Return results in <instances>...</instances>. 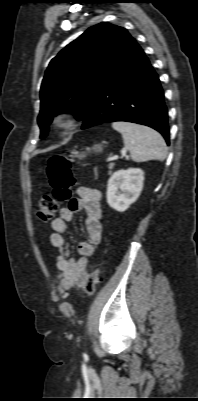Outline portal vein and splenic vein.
Masks as SVG:
<instances>
[{
  "label": "portal vein and splenic vein",
  "mask_w": 198,
  "mask_h": 401,
  "mask_svg": "<svg viewBox=\"0 0 198 401\" xmlns=\"http://www.w3.org/2000/svg\"><path fill=\"white\" fill-rule=\"evenodd\" d=\"M123 156H126L125 153H122ZM127 157V156H126ZM118 159V155H114L113 157H111L109 160H116Z\"/></svg>",
  "instance_id": "obj_1"
}]
</instances>
